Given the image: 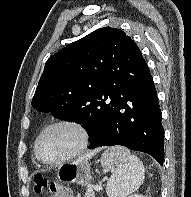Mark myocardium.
<instances>
[{
	"label": "myocardium",
	"mask_w": 191,
	"mask_h": 197,
	"mask_svg": "<svg viewBox=\"0 0 191 197\" xmlns=\"http://www.w3.org/2000/svg\"><path fill=\"white\" fill-rule=\"evenodd\" d=\"M59 126H67V127H71L75 129L80 136V144L70 154L57 160L47 161L43 159L42 156L40 155V152H39L40 140L42 136L45 134V132H47L49 129L54 128V127H59ZM89 144H90V133L87 127L82 122L75 120V119H58V120L50 122L49 124H47L41 129V131L39 132V134L37 135L35 139L34 154L37 160L41 162L42 164L48 165V166H55V165H60L62 163H65L69 160H72L80 156L87 150Z\"/></svg>",
	"instance_id": "myocardium-1"
}]
</instances>
